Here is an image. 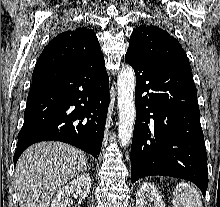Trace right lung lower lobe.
Segmentation results:
<instances>
[{
    "instance_id": "right-lung-lower-lobe-1",
    "label": "right lung lower lobe",
    "mask_w": 220,
    "mask_h": 207,
    "mask_svg": "<svg viewBox=\"0 0 220 207\" xmlns=\"http://www.w3.org/2000/svg\"><path fill=\"white\" fill-rule=\"evenodd\" d=\"M104 57L70 67L35 68L14 164L30 145L61 141L99 156L109 106Z\"/></svg>"
}]
</instances>
